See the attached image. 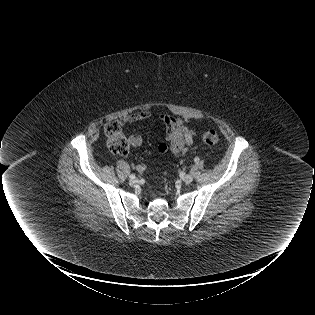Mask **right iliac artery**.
I'll use <instances>...</instances> for the list:
<instances>
[{
    "instance_id": "82829eb1",
    "label": "right iliac artery",
    "mask_w": 315,
    "mask_h": 315,
    "mask_svg": "<svg viewBox=\"0 0 315 315\" xmlns=\"http://www.w3.org/2000/svg\"><path fill=\"white\" fill-rule=\"evenodd\" d=\"M129 178H130V179H135V178H136V175H135V174H131V175H129Z\"/></svg>"
}]
</instances>
